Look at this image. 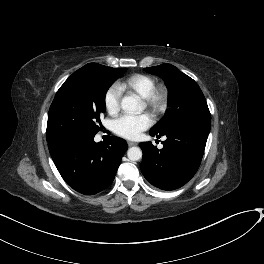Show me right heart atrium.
Masks as SVG:
<instances>
[{
    "mask_svg": "<svg viewBox=\"0 0 264 264\" xmlns=\"http://www.w3.org/2000/svg\"><path fill=\"white\" fill-rule=\"evenodd\" d=\"M122 92L118 86L110 87L104 96V105L107 112L111 115H115L120 110Z\"/></svg>",
    "mask_w": 264,
    "mask_h": 264,
    "instance_id": "obj_1",
    "label": "right heart atrium"
}]
</instances>
